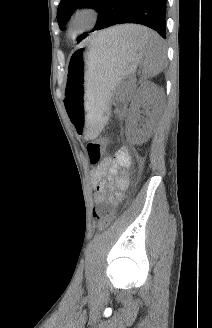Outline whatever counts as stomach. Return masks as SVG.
<instances>
[{
    "mask_svg": "<svg viewBox=\"0 0 212 328\" xmlns=\"http://www.w3.org/2000/svg\"><path fill=\"white\" fill-rule=\"evenodd\" d=\"M143 56L131 41L91 40L76 49L69 60L65 81L66 115L79 136H98L109 115L110 95L133 74Z\"/></svg>",
    "mask_w": 212,
    "mask_h": 328,
    "instance_id": "1",
    "label": "stomach"
}]
</instances>
